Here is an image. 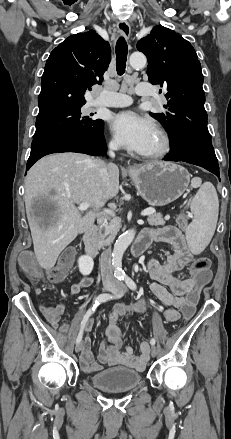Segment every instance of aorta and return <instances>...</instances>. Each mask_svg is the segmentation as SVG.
<instances>
[{"label":"aorta","mask_w":231,"mask_h":439,"mask_svg":"<svg viewBox=\"0 0 231 439\" xmlns=\"http://www.w3.org/2000/svg\"><path fill=\"white\" fill-rule=\"evenodd\" d=\"M147 59L145 55L141 52H135L131 54L129 58V63L131 67L135 69L143 68L146 65ZM135 237L134 230H128L121 234L116 240V243L112 252V267L114 270V276L120 278L125 276V272L122 269V258L123 254L131 244Z\"/></svg>","instance_id":"aorta-1"}]
</instances>
